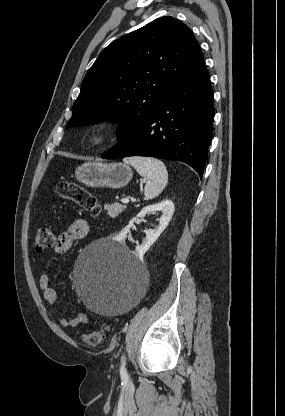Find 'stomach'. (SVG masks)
<instances>
[{"label": "stomach", "mask_w": 285, "mask_h": 416, "mask_svg": "<svg viewBox=\"0 0 285 416\" xmlns=\"http://www.w3.org/2000/svg\"><path fill=\"white\" fill-rule=\"evenodd\" d=\"M75 178L89 188H123L132 178V170L126 164H102L85 162L75 170Z\"/></svg>", "instance_id": "stomach-1"}]
</instances>
